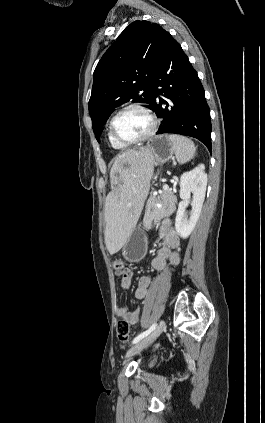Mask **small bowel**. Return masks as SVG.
I'll list each match as a JSON object with an SVG mask.
<instances>
[{
	"label": "small bowel",
	"instance_id": "small-bowel-1",
	"mask_svg": "<svg viewBox=\"0 0 265 423\" xmlns=\"http://www.w3.org/2000/svg\"><path fill=\"white\" fill-rule=\"evenodd\" d=\"M159 235L161 238V248L151 261L153 269L163 271L168 263L173 265L179 262V255L176 249L179 246V237L172 227L171 220L165 218L161 221L159 228ZM118 277L121 278V287L128 289L131 285L133 273L130 268L124 267L122 271H116ZM150 278L147 276L140 277L138 280L135 297L138 300H144L150 287ZM140 310L134 312L128 311L124 307L116 309V316L128 324L134 326L138 323Z\"/></svg>",
	"mask_w": 265,
	"mask_h": 423
}]
</instances>
